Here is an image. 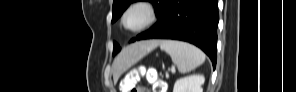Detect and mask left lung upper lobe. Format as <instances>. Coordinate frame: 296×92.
I'll return each mask as SVG.
<instances>
[{"instance_id":"5c2ea615","label":"left lung upper lobe","mask_w":296,"mask_h":92,"mask_svg":"<svg viewBox=\"0 0 296 92\" xmlns=\"http://www.w3.org/2000/svg\"><path fill=\"white\" fill-rule=\"evenodd\" d=\"M140 0H113V7H112V22H115L121 15L122 13L126 10V8L132 3ZM141 1H149L153 3L155 7V13L158 16L157 23L151 27L148 31L156 29L158 26L161 25V23L164 20L165 17V10L166 6L169 2V0H141ZM146 31V32H148ZM144 32V33H146ZM143 34V33H142ZM140 34V35H142ZM138 35L136 38L132 39V41H135L138 39L140 36ZM120 46L114 42V49H113V55L117 54L120 51Z\"/></svg>"}]
</instances>
